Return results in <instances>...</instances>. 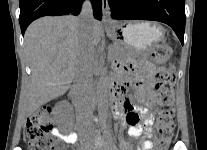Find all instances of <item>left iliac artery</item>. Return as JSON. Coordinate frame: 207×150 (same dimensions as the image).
Returning <instances> with one entry per match:
<instances>
[{"label": "left iliac artery", "mask_w": 207, "mask_h": 150, "mask_svg": "<svg viewBox=\"0 0 207 150\" xmlns=\"http://www.w3.org/2000/svg\"><path fill=\"white\" fill-rule=\"evenodd\" d=\"M109 140L111 141V137H110V135H109Z\"/></svg>", "instance_id": "1"}]
</instances>
